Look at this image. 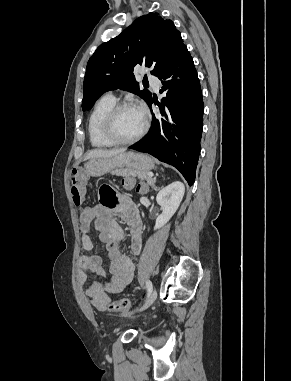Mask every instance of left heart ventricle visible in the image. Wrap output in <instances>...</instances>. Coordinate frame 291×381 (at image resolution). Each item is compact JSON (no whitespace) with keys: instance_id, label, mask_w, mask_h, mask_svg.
Returning <instances> with one entry per match:
<instances>
[{"instance_id":"obj_1","label":"left heart ventricle","mask_w":291,"mask_h":381,"mask_svg":"<svg viewBox=\"0 0 291 381\" xmlns=\"http://www.w3.org/2000/svg\"><path fill=\"white\" fill-rule=\"evenodd\" d=\"M144 124V117L136 107L123 109L114 121V131L121 139H130L137 135Z\"/></svg>"}]
</instances>
